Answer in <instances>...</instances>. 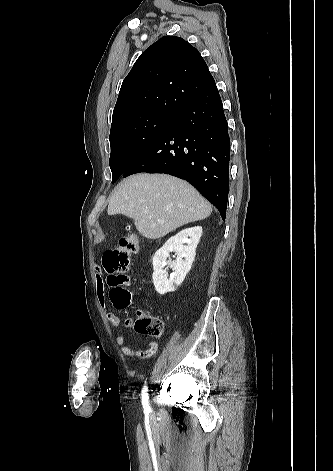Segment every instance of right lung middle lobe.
Returning a JSON list of instances; mask_svg holds the SVG:
<instances>
[{"label": "right lung middle lobe", "mask_w": 333, "mask_h": 471, "mask_svg": "<svg viewBox=\"0 0 333 471\" xmlns=\"http://www.w3.org/2000/svg\"><path fill=\"white\" fill-rule=\"evenodd\" d=\"M175 114L146 111L124 116L111 125L110 168L112 183L137 156L173 122Z\"/></svg>", "instance_id": "dd1d6c3e"}]
</instances>
